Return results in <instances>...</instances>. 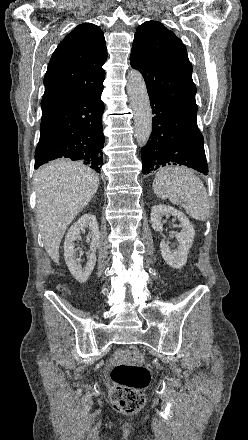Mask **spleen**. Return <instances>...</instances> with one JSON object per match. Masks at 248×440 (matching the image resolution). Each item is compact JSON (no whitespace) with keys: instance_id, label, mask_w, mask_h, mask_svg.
I'll list each match as a JSON object with an SVG mask.
<instances>
[{"instance_id":"obj_1","label":"spleen","mask_w":248,"mask_h":440,"mask_svg":"<svg viewBox=\"0 0 248 440\" xmlns=\"http://www.w3.org/2000/svg\"><path fill=\"white\" fill-rule=\"evenodd\" d=\"M153 191L161 199H169L172 204H186L187 214L206 221L209 216L208 196L203 182L185 167H164L153 181Z\"/></svg>"}]
</instances>
